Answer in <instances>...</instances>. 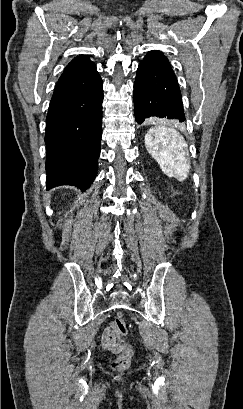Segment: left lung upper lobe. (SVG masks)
Wrapping results in <instances>:
<instances>
[{
    "label": "left lung upper lobe",
    "mask_w": 243,
    "mask_h": 409,
    "mask_svg": "<svg viewBox=\"0 0 243 409\" xmlns=\"http://www.w3.org/2000/svg\"><path fill=\"white\" fill-rule=\"evenodd\" d=\"M143 60L155 62L171 68V65L167 57L164 56V54L158 50L149 51Z\"/></svg>",
    "instance_id": "left-lung-upper-lobe-1"
}]
</instances>
